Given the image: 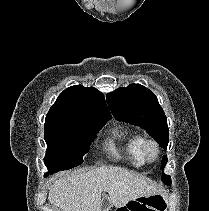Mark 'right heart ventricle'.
Masks as SVG:
<instances>
[{
  "instance_id": "1",
  "label": "right heart ventricle",
  "mask_w": 209,
  "mask_h": 211,
  "mask_svg": "<svg viewBox=\"0 0 209 211\" xmlns=\"http://www.w3.org/2000/svg\"><path fill=\"white\" fill-rule=\"evenodd\" d=\"M143 136L134 129L116 127L107 142L108 152L116 159L123 160L134 167L145 164L142 153Z\"/></svg>"
}]
</instances>
